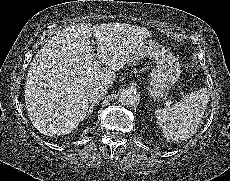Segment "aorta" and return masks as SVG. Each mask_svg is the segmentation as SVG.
Here are the masks:
<instances>
[{"instance_id": "1", "label": "aorta", "mask_w": 230, "mask_h": 181, "mask_svg": "<svg viewBox=\"0 0 230 181\" xmlns=\"http://www.w3.org/2000/svg\"><path fill=\"white\" fill-rule=\"evenodd\" d=\"M119 101L124 106L133 107L139 104L140 97L134 90L123 89L119 95Z\"/></svg>"}]
</instances>
